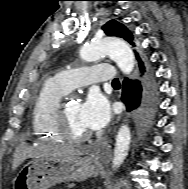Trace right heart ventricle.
I'll list each match as a JSON object with an SVG mask.
<instances>
[{"label": "right heart ventricle", "mask_w": 188, "mask_h": 189, "mask_svg": "<svg viewBox=\"0 0 188 189\" xmlns=\"http://www.w3.org/2000/svg\"><path fill=\"white\" fill-rule=\"evenodd\" d=\"M68 93L55 79L43 82L36 96L31 113L32 131L36 138L46 139L50 142L63 140L57 126L56 114L62 98Z\"/></svg>", "instance_id": "obj_1"}]
</instances>
